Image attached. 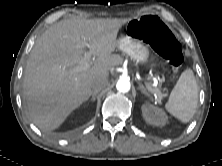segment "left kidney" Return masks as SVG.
I'll list each match as a JSON object with an SVG mask.
<instances>
[{
  "instance_id": "obj_1",
  "label": "left kidney",
  "mask_w": 222,
  "mask_h": 166,
  "mask_svg": "<svg viewBox=\"0 0 222 166\" xmlns=\"http://www.w3.org/2000/svg\"><path fill=\"white\" fill-rule=\"evenodd\" d=\"M143 118L151 125L164 126L168 121V117L164 110L150 103H145L141 107Z\"/></svg>"
}]
</instances>
